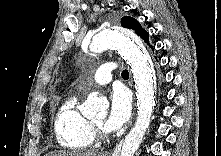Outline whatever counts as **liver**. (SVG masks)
<instances>
[{"mask_svg": "<svg viewBox=\"0 0 221 156\" xmlns=\"http://www.w3.org/2000/svg\"><path fill=\"white\" fill-rule=\"evenodd\" d=\"M45 156H97L96 151H52Z\"/></svg>", "mask_w": 221, "mask_h": 156, "instance_id": "liver-1", "label": "liver"}]
</instances>
